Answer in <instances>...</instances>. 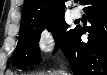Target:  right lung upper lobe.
I'll return each instance as SVG.
<instances>
[{
  "label": "right lung upper lobe",
  "mask_w": 107,
  "mask_h": 75,
  "mask_svg": "<svg viewBox=\"0 0 107 75\" xmlns=\"http://www.w3.org/2000/svg\"><path fill=\"white\" fill-rule=\"evenodd\" d=\"M64 2L65 0H25L21 24H43L63 18Z\"/></svg>",
  "instance_id": "cb5924a9"
}]
</instances>
